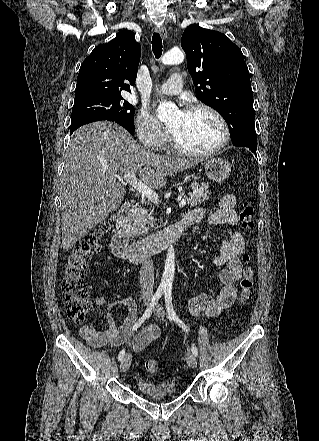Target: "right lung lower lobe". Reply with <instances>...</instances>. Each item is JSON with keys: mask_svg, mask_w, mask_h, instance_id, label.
Segmentation results:
<instances>
[{"mask_svg": "<svg viewBox=\"0 0 319 441\" xmlns=\"http://www.w3.org/2000/svg\"><path fill=\"white\" fill-rule=\"evenodd\" d=\"M99 121V120H98ZM84 124L78 125V126H74L70 128V134H72L77 128H79L80 126H82Z\"/></svg>", "mask_w": 319, "mask_h": 441, "instance_id": "1", "label": "right lung lower lobe"}]
</instances>
